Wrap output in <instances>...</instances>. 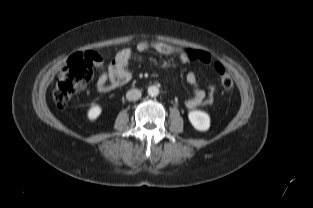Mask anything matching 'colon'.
Here are the masks:
<instances>
[{
  "label": "colon",
  "mask_w": 313,
  "mask_h": 208,
  "mask_svg": "<svg viewBox=\"0 0 313 208\" xmlns=\"http://www.w3.org/2000/svg\"><path fill=\"white\" fill-rule=\"evenodd\" d=\"M188 55L192 62L208 64L211 60L210 54L201 50H189ZM97 58L98 54L91 51L75 53L69 57L58 75L53 91V99L58 108L66 107L71 98L90 81L93 75L94 61ZM214 68L219 75L221 85L225 89H230L233 86V80L224 66L221 63H215ZM215 92V86L210 84L204 104L213 103Z\"/></svg>",
  "instance_id": "5ec220e1"
}]
</instances>
